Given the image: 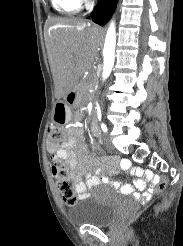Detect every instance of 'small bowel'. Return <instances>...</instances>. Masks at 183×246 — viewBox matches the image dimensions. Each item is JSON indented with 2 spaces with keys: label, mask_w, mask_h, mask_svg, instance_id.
<instances>
[{
  "label": "small bowel",
  "mask_w": 183,
  "mask_h": 246,
  "mask_svg": "<svg viewBox=\"0 0 183 246\" xmlns=\"http://www.w3.org/2000/svg\"><path fill=\"white\" fill-rule=\"evenodd\" d=\"M67 140L61 145V147L55 151H51V160L65 161L72 173V179L76 182L75 188L78 192L79 199H85L88 196L87 189L95 187L99 184H108L112 188L124 195H133L140 197L139 192L143 193V198H147L150 193V188L145 182H161L160 174H153V170H143L142 167H130L133 163L127 159H121L119 165L124 174H134L135 178L139 175H145L143 179L135 180L134 184H125L119 180L112 181L107 175H92L90 169L95 164V157L88 153L86 146L81 138V134L78 130L69 128ZM91 132L94 136H98L99 129L97 124H92ZM113 168H109L108 172H113ZM84 175L85 181L81 180V176Z\"/></svg>",
  "instance_id": "small-bowel-1"
}]
</instances>
